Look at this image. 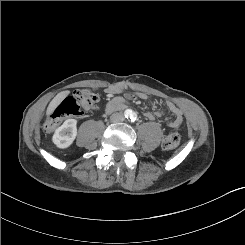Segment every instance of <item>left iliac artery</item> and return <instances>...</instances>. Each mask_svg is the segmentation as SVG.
I'll use <instances>...</instances> for the list:
<instances>
[{"label":"left iliac artery","instance_id":"left-iliac-artery-1","mask_svg":"<svg viewBox=\"0 0 245 245\" xmlns=\"http://www.w3.org/2000/svg\"><path fill=\"white\" fill-rule=\"evenodd\" d=\"M136 119H137V115L135 113H133L131 115V121H136Z\"/></svg>","mask_w":245,"mask_h":245}]
</instances>
